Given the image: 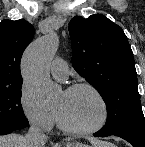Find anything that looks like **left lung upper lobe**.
<instances>
[{
  "mask_svg": "<svg viewBox=\"0 0 145 147\" xmlns=\"http://www.w3.org/2000/svg\"><path fill=\"white\" fill-rule=\"evenodd\" d=\"M72 65L102 96L108 111L103 132L145 131L133 53L121 27L103 15L69 23Z\"/></svg>",
  "mask_w": 145,
  "mask_h": 147,
  "instance_id": "left-lung-upper-lobe-1",
  "label": "left lung upper lobe"
}]
</instances>
